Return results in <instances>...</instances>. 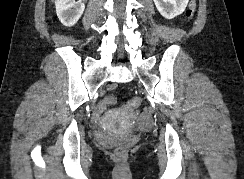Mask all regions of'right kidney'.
Masks as SVG:
<instances>
[{
    "label": "right kidney",
    "mask_w": 244,
    "mask_h": 179,
    "mask_svg": "<svg viewBox=\"0 0 244 179\" xmlns=\"http://www.w3.org/2000/svg\"><path fill=\"white\" fill-rule=\"evenodd\" d=\"M55 8L61 24L69 26V28L77 24L85 10L81 0L80 2H75V0H55Z\"/></svg>",
    "instance_id": "obj_1"
}]
</instances>
